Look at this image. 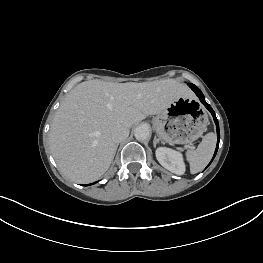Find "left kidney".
<instances>
[{"instance_id":"left-kidney-1","label":"left kidney","mask_w":263,"mask_h":263,"mask_svg":"<svg viewBox=\"0 0 263 263\" xmlns=\"http://www.w3.org/2000/svg\"><path fill=\"white\" fill-rule=\"evenodd\" d=\"M155 154L158 162L170 172L176 175L185 173V163L180 152L167 147H159Z\"/></svg>"}]
</instances>
